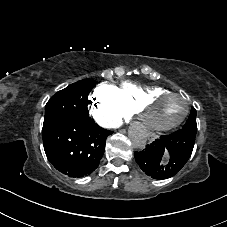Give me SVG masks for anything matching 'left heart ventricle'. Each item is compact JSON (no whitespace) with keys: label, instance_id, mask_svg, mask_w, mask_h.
<instances>
[{"label":"left heart ventricle","instance_id":"1","mask_svg":"<svg viewBox=\"0 0 227 227\" xmlns=\"http://www.w3.org/2000/svg\"><path fill=\"white\" fill-rule=\"evenodd\" d=\"M186 107L180 96H164L153 102L146 110L149 122L157 126H167L179 119Z\"/></svg>","mask_w":227,"mask_h":227}]
</instances>
